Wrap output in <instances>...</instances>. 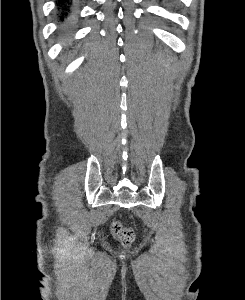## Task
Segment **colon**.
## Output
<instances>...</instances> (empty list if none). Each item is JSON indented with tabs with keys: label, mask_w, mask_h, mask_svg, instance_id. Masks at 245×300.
<instances>
[{
	"label": "colon",
	"mask_w": 245,
	"mask_h": 300,
	"mask_svg": "<svg viewBox=\"0 0 245 300\" xmlns=\"http://www.w3.org/2000/svg\"><path fill=\"white\" fill-rule=\"evenodd\" d=\"M112 234L124 245H129L134 240V232L131 228L125 227L120 221L111 224Z\"/></svg>",
	"instance_id": "obj_1"
}]
</instances>
